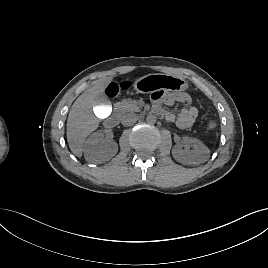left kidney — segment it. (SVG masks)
<instances>
[{"instance_id": "1", "label": "left kidney", "mask_w": 268, "mask_h": 268, "mask_svg": "<svg viewBox=\"0 0 268 268\" xmlns=\"http://www.w3.org/2000/svg\"><path fill=\"white\" fill-rule=\"evenodd\" d=\"M190 146L191 150L188 149ZM172 155L183 164H200L208 159L209 149L196 138L184 137L181 143L173 147Z\"/></svg>"}]
</instances>
